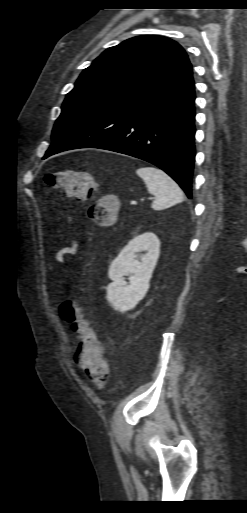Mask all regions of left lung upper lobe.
<instances>
[{
	"mask_svg": "<svg viewBox=\"0 0 247 513\" xmlns=\"http://www.w3.org/2000/svg\"><path fill=\"white\" fill-rule=\"evenodd\" d=\"M189 63L184 49L162 36H137L105 50L67 94L46 154L94 121L171 79Z\"/></svg>",
	"mask_w": 247,
	"mask_h": 513,
	"instance_id": "left-lung-upper-lobe-1",
	"label": "left lung upper lobe"
}]
</instances>
